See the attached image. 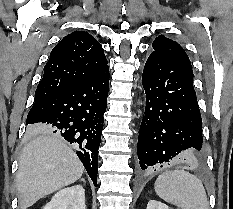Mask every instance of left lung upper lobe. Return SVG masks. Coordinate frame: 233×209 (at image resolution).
<instances>
[{
    "mask_svg": "<svg viewBox=\"0 0 233 209\" xmlns=\"http://www.w3.org/2000/svg\"><path fill=\"white\" fill-rule=\"evenodd\" d=\"M152 46L154 49V52L152 53L167 57L192 67L184 49L177 42L165 37L164 35H159L153 41Z\"/></svg>",
    "mask_w": 233,
    "mask_h": 209,
    "instance_id": "5c2ea615",
    "label": "left lung upper lobe"
}]
</instances>
